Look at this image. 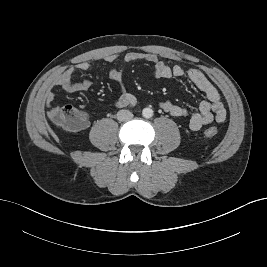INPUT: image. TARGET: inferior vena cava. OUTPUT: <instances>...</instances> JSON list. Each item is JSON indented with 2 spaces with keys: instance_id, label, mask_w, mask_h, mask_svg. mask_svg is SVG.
I'll return each instance as SVG.
<instances>
[{
  "instance_id": "1",
  "label": "inferior vena cava",
  "mask_w": 267,
  "mask_h": 267,
  "mask_svg": "<svg viewBox=\"0 0 267 267\" xmlns=\"http://www.w3.org/2000/svg\"><path fill=\"white\" fill-rule=\"evenodd\" d=\"M132 118H133V114L129 110H120L117 113L118 121H128Z\"/></svg>"
}]
</instances>
